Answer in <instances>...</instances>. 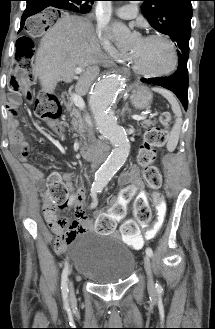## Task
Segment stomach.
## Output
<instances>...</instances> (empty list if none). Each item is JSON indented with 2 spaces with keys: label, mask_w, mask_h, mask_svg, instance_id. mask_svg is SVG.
I'll use <instances>...</instances> for the list:
<instances>
[{
  "label": "stomach",
  "mask_w": 215,
  "mask_h": 329,
  "mask_svg": "<svg viewBox=\"0 0 215 329\" xmlns=\"http://www.w3.org/2000/svg\"><path fill=\"white\" fill-rule=\"evenodd\" d=\"M152 98V93L146 87L137 85L132 90L130 101L136 109L143 110L150 107Z\"/></svg>",
  "instance_id": "0dacf381"
}]
</instances>
